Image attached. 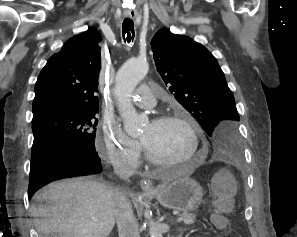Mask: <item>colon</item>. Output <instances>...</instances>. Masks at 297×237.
<instances>
[{"instance_id":"5ec220e1","label":"colon","mask_w":297,"mask_h":237,"mask_svg":"<svg viewBox=\"0 0 297 237\" xmlns=\"http://www.w3.org/2000/svg\"><path fill=\"white\" fill-rule=\"evenodd\" d=\"M214 191L216 198V210L212 214L213 225L224 230L227 227V213L232 207V195L234 183L225 173H219L214 178Z\"/></svg>"}]
</instances>
